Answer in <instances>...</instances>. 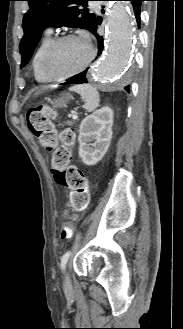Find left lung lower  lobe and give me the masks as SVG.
<instances>
[{
  "label": "left lung lower lobe",
  "mask_w": 183,
  "mask_h": 329,
  "mask_svg": "<svg viewBox=\"0 0 183 329\" xmlns=\"http://www.w3.org/2000/svg\"><path fill=\"white\" fill-rule=\"evenodd\" d=\"M128 1H131L132 5H133V8H134V12H135V16H136V19H137V23H138V26H140V5H141V1H144V0H128ZM102 13H104V10H102ZM101 18L100 17H97L95 19V23L91 29L90 32H92L96 38H97V41H98V56L101 55L102 51H103V48H104V39L101 35H99L97 33V27L98 25L101 24ZM86 73H87V70L79 73V74H76L70 78H68L66 80V83L64 84H82V83H87V79H86ZM127 92L130 91V88H129V85L126 86L124 88Z\"/></svg>",
  "instance_id": "1"
}]
</instances>
